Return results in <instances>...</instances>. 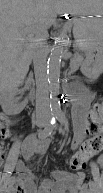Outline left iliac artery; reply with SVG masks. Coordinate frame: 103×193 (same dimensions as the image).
I'll return each instance as SVG.
<instances>
[{"mask_svg":"<svg viewBox=\"0 0 103 193\" xmlns=\"http://www.w3.org/2000/svg\"><path fill=\"white\" fill-rule=\"evenodd\" d=\"M56 117L58 119V121L61 123V124H66V119H65V116L62 112H58L56 114ZM89 186L90 188H94L95 187V183L93 181H90L89 182Z\"/></svg>","mask_w":103,"mask_h":193,"instance_id":"1","label":"left iliac artery"}]
</instances>
